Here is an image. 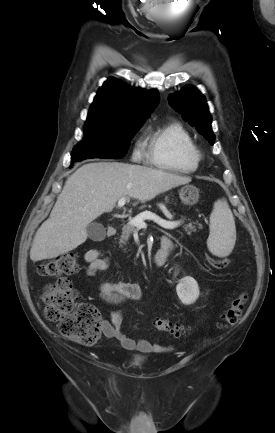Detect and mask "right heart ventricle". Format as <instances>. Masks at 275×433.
Segmentation results:
<instances>
[{"label":"right heart ventricle","instance_id":"1","mask_svg":"<svg viewBox=\"0 0 275 433\" xmlns=\"http://www.w3.org/2000/svg\"><path fill=\"white\" fill-rule=\"evenodd\" d=\"M145 146L148 162L158 168L179 173H192L198 169L196 144L179 122H168L151 129Z\"/></svg>","mask_w":275,"mask_h":433}]
</instances>
